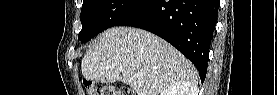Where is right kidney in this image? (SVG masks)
Returning a JSON list of instances; mask_svg holds the SVG:
<instances>
[{
    "label": "right kidney",
    "mask_w": 277,
    "mask_h": 95,
    "mask_svg": "<svg viewBox=\"0 0 277 95\" xmlns=\"http://www.w3.org/2000/svg\"><path fill=\"white\" fill-rule=\"evenodd\" d=\"M192 87L190 84L185 82H177L165 89L161 95H196L192 93Z\"/></svg>",
    "instance_id": "right-kidney-1"
}]
</instances>
